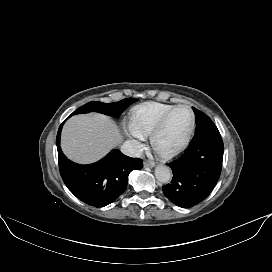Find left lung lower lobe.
<instances>
[{"instance_id":"obj_1","label":"left lung lower lobe","mask_w":272,"mask_h":272,"mask_svg":"<svg viewBox=\"0 0 272 272\" xmlns=\"http://www.w3.org/2000/svg\"><path fill=\"white\" fill-rule=\"evenodd\" d=\"M224 145L217 128L193 138L184 154L167 165L174 176L164 195L182 208L203 201L215 187L222 168Z\"/></svg>"}]
</instances>
